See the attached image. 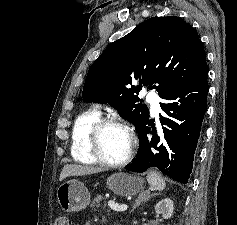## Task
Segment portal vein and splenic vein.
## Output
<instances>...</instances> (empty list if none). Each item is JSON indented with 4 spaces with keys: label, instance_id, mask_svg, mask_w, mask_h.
<instances>
[{
    "label": "portal vein and splenic vein",
    "instance_id": "1",
    "mask_svg": "<svg viewBox=\"0 0 237 225\" xmlns=\"http://www.w3.org/2000/svg\"><path fill=\"white\" fill-rule=\"evenodd\" d=\"M108 206L112 209V210H114V211H116V212H124V211H126L127 210V208H128V206L127 205H119V204H117V203H114L113 201H109L108 202Z\"/></svg>",
    "mask_w": 237,
    "mask_h": 225
}]
</instances>
